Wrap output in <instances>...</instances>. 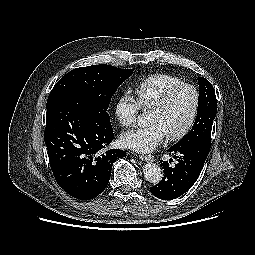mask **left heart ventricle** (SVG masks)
I'll use <instances>...</instances> for the list:
<instances>
[{
	"mask_svg": "<svg viewBox=\"0 0 255 255\" xmlns=\"http://www.w3.org/2000/svg\"><path fill=\"white\" fill-rule=\"evenodd\" d=\"M193 106V92L190 89H181L172 97L165 109L149 111L148 124L160 125L166 135L175 134L187 124Z\"/></svg>",
	"mask_w": 255,
	"mask_h": 255,
	"instance_id": "b2bd125f",
	"label": "left heart ventricle"
}]
</instances>
